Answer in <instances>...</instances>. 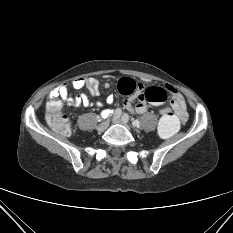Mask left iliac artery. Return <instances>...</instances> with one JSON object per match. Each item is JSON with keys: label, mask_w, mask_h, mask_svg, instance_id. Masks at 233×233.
Wrapping results in <instances>:
<instances>
[{"label": "left iliac artery", "mask_w": 233, "mask_h": 233, "mask_svg": "<svg viewBox=\"0 0 233 233\" xmlns=\"http://www.w3.org/2000/svg\"><path fill=\"white\" fill-rule=\"evenodd\" d=\"M122 119L124 120V121H126V122H128L129 121V115L128 114H123V116H122ZM132 124H133V122H132ZM134 126V125H133ZM135 127V126H134Z\"/></svg>", "instance_id": "obj_1"}]
</instances>
